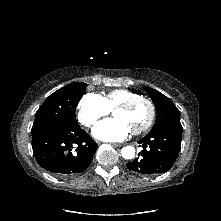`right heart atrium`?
Returning <instances> with one entry per match:
<instances>
[{"label": "right heart atrium", "mask_w": 221, "mask_h": 221, "mask_svg": "<svg viewBox=\"0 0 221 221\" xmlns=\"http://www.w3.org/2000/svg\"><path fill=\"white\" fill-rule=\"evenodd\" d=\"M110 109L102 96L96 93H86L79 101L77 108V119L85 127H91L97 121L108 115Z\"/></svg>", "instance_id": "right-heart-atrium-1"}]
</instances>
